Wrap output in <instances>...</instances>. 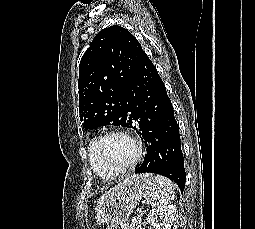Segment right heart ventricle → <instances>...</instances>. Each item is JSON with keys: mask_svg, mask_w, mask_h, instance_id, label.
Instances as JSON below:
<instances>
[{"mask_svg": "<svg viewBox=\"0 0 255 229\" xmlns=\"http://www.w3.org/2000/svg\"><path fill=\"white\" fill-rule=\"evenodd\" d=\"M96 138H92L89 142L88 148H87V157L88 162L91 167V169L102 179L104 180H110L116 177L118 174H112L109 171L105 170L100 162L95 158L93 154V144L95 142Z\"/></svg>", "mask_w": 255, "mask_h": 229, "instance_id": "1", "label": "right heart ventricle"}]
</instances>
